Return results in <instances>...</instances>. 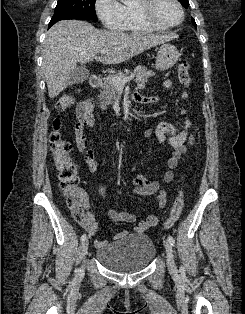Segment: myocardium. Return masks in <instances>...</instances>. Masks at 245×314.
<instances>
[{
    "label": "myocardium",
    "mask_w": 245,
    "mask_h": 314,
    "mask_svg": "<svg viewBox=\"0 0 245 314\" xmlns=\"http://www.w3.org/2000/svg\"><path fill=\"white\" fill-rule=\"evenodd\" d=\"M158 0H138L136 4V9L139 16L147 23L153 24L156 27H160L163 29L174 28L182 24L185 19V11L179 0H173V2L178 6L181 12V21L178 23H167L160 20L155 15V6Z\"/></svg>",
    "instance_id": "1"
}]
</instances>
